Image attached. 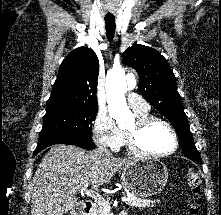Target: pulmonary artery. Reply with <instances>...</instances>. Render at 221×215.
<instances>
[{
  "instance_id": "1",
  "label": "pulmonary artery",
  "mask_w": 221,
  "mask_h": 215,
  "mask_svg": "<svg viewBox=\"0 0 221 215\" xmlns=\"http://www.w3.org/2000/svg\"><path fill=\"white\" fill-rule=\"evenodd\" d=\"M127 101L135 113L147 112L149 110L148 103L136 93H129L127 96Z\"/></svg>"
}]
</instances>
